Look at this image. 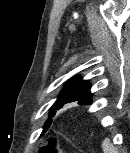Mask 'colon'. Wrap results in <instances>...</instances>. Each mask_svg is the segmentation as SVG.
<instances>
[{"instance_id":"1","label":"colon","mask_w":130,"mask_h":153,"mask_svg":"<svg viewBox=\"0 0 130 153\" xmlns=\"http://www.w3.org/2000/svg\"><path fill=\"white\" fill-rule=\"evenodd\" d=\"M56 151L57 150L52 142H49L47 145H45L41 149V153H52V152H56Z\"/></svg>"}]
</instances>
